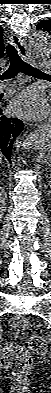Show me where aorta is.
Masks as SVG:
<instances>
[{
    "mask_svg": "<svg viewBox=\"0 0 51 393\" xmlns=\"http://www.w3.org/2000/svg\"><path fill=\"white\" fill-rule=\"evenodd\" d=\"M29 43L33 48L35 57L46 58L51 53V37L43 31H37L30 35ZM51 140V130L49 127L35 131L26 141V147H44ZM22 159V158H21Z\"/></svg>",
    "mask_w": 51,
    "mask_h": 393,
    "instance_id": "obj_1",
    "label": "aorta"
}]
</instances>
